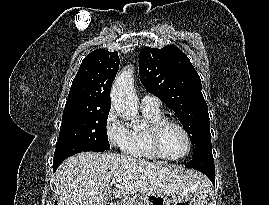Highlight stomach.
I'll list each match as a JSON object with an SVG mask.
<instances>
[{
    "mask_svg": "<svg viewBox=\"0 0 269 205\" xmlns=\"http://www.w3.org/2000/svg\"><path fill=\"white\" fill-rule=\"evenodd\" d=\"M119 205H128L122 201ZM135 205H207L205 192L179 194L167 199L165 196L146 194Z\"/></svg>",
    "mask_w": 269,
    "mask_h": 205,
    "instance_id": "obj_1",
    "label": "stomach"
}]
</instances>
